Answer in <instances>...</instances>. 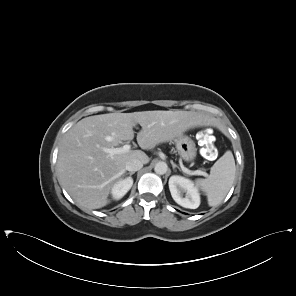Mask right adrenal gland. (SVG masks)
Listing matches in <instances>:
<instances>
[{
  "label": "right adrenal gland",
  "mask_w": 296,
  "mask_h": 296,
  "mask_svg": "<svg viewBox=\"0 0 296 296\" xmlns=\"http://www.w3.org/2000/svg\"><path fill=\"white\" fill-rule=\"evenodd\" d=\"M135 174V172L126 173V175H129L130 177Z\"/></svg>",
  "instance_id": "obj_1"
}]
</instances>
